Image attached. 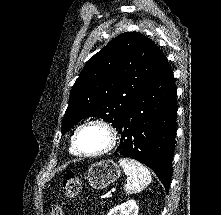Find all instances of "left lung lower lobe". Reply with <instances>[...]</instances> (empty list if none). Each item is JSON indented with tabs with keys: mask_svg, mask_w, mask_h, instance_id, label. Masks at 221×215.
<instances>
[{
	"mask_svg": "<svg viewBox=\"0 0 221 215\" xmlns=\"http://www.w3.org/2000/svg\"><path fill=\"white\" fill-rule=\"evenodd\" d=\"M176 87L167 59L133 100L118 126L115 155L150 167L168 192L176 135Z\"/></svg>",
	"mask_w": 221,
	"mask_h": 215,
	"instance_id": "obj_1",
	"label": "left lung lower lobe"
}]
</instances>
